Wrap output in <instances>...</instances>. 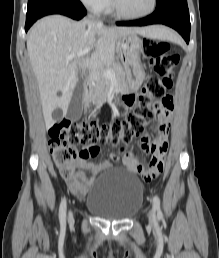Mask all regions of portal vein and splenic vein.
Masks as SVG:
<instances>
[{"label":"portal vein and splenic vein","instance_id":"18ae733b","mask_svg":"<svg viewBox=\"0 0 219 258\" xmlns=\"http://www.w3.org/2000/svg\"><path fill=\"white\" fill-rule=\"evenodd\" d=\"M92 48L89 47V48H86L84 49L83 51H81L79 54H78V57H83L85 54H87ZM75 56L71 55V56H68L67 57V61H70L74 58ZM103 75L107 78H112L115 76V73L111 70H107V71H104L103 72Z\"/></svg>","mask_w":219,"mask_h":258}]
</instances>
